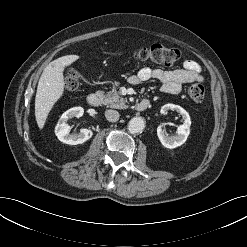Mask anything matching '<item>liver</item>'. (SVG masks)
<instances>
[{
	"mask_svg": "<svg viewBox=\"0 0 247 247\" xmlns=\"http://www.w3.org/2000/svg\"><path fill=\"white\" fill-rule=\"evenodd\" d=\"M79 59L78 55L62 56L50 62L44 69L37 86L35 97V117L42 129L49 112L64 93V69Z\"/></svg>",
	"mask_w": 247,
	"mask_h": 247,
	"instance_id": "6515ba94",
	"label": "liver"
}]
</instances>
